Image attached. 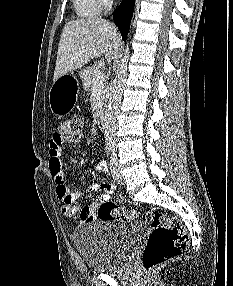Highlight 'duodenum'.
Wrapping results in <instances>:
<instances>
[{"mask_svg":"<svg viewBox=\"0 0 233 286\" xmlns=\"http://www.w3.org/2000/svg\"><path fill=\"white\" fill-rule=\"evenodd\" d=\"M98 128L101 131H104L106 128V118L105 113L103 111H100L98 114V120H97Z\"/></svg>","mask_w":233,"mask_h":286,"instance_id":"1","label":"duodenum"}]
</instances>
